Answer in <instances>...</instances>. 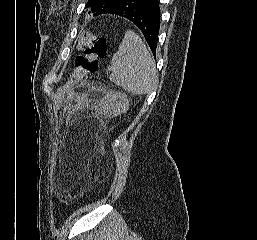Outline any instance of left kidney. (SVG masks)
I'll use <instances>...</instances> for the list:
<instances>
[{"label": "left kidney", "instance_id": "left-kidney-1", "mask_svg": "<svg viewBox=\"0 0 257 240\" xmlns=\"http://www.w3.org/2000/svg\"><path fill=\"white\" fill-rule=\"evenodd\" d=\"M118 105H119L118 107H122V105H124V107H125V103L123 104L122 101H120V103Z\"/></svg>", "mask_w": 257, "mask_h": 240}]
</instances>
